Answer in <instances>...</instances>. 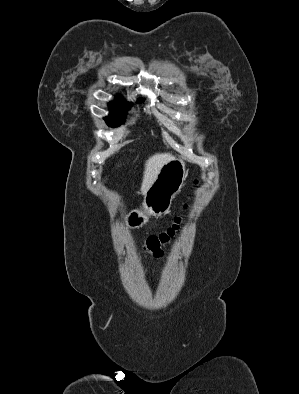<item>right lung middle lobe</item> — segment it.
Returning a JSON list of instances; mask_svg holds the SVG:
<instances>
[{
    "label": "right lung middle lobe",
    "mask_w": 299,
    "mask_h": 394,
    "mask_svg": "<svg viewBox=\"0 0 299 394\" xmlns=\"http://www.w3.org/2000/svg\"><path fill=\"white\" fill-rule=\"evenodd\" d=\"M109 106L112 110V114L104 118L105 122L111 127L120 126L125 122L127 111L130 109V106L121 97H116V101L109 103Z\"/></svg>",
    "instance_id": "right-lung-middle-lobe-1"
}]
</instances>
